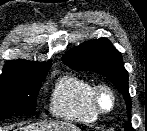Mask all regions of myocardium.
<instances>
[{
	"instance_id": "1",
	"label": "myocardium",
	"mask_w": 147,
	"mask_h": 131,
	"mask_svg": "<svg viewBox=\"0 0 147 131\" xmlns=\"http://www.w3.org/2000/svg\"><path fill=\"white\" fill-rule=\"evenodd\" d=\"M102 93H108L111 97V105L108 108H104L101 105L100 102V97ZM90 101H91V105L94 109V111L100 116V115H106L111 113L117 104V95L116 92L114 91V89L107 85V84H97L94 85L92 91H91V95H90Z\"/></svg>"
}]
</instances>
